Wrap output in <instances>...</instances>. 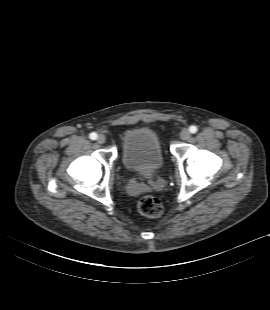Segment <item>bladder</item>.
I'll use <instances>...</instances> for the list:
<instances>
[{
	"label": "bladder",
	"mask_w": 270,
	"mask_h": 310,
	"mask_svg": "<svg viewBox=\"0 0 270 310\" xmlns=\"http://www.w3.org/2000/svg\"><path fill=\"white\" fill-rule=\"evenodd\" d=\"M121 161L131 172L155 175L164 164L159 136L150 128L129 130L121 141Z\"/></svg>",
	"instance_id": "bladder-1"
}]
</instances>
